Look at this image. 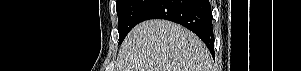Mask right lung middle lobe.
I'll list each match as a JSON object with an SVG mask.
<instances>
[{
  "label": "right lung middle lobe",
  "mask_w": 301,
  "mask_h": 71,
  "mask_svg": "<svg viewBox=\"0 0 301 71\" xmlns=\"http://www.w3.org/2000/svg\"><path fill=\"white\" fill-rule=\"evenodd\" d=\"M155 0H117L119 43L138 23Z\"/></svg>",
  "instance_id": "right-lung-middle-lobe-1"
}]
</instances>
